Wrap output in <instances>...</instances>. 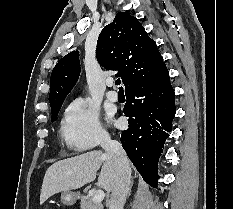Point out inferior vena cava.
Masks as SVG:
<instances>
[{
	"label": "inferior vena cava",
	"instance_id": "602c4592",
	"mask_svg": "<svg viewBox=\"0 0 233 209\" xmlns=\"http://www.w3.org/2000/svg\"><path fill=\"white\" fill-rule=\"evenodd\" d=\"M101 147L112 157L115 164V183L111 194L109 209H123L129 194L131 183V168L127 155L118 141L109 136L101 138Z\"/></svg>",
	"mask_w": 233,
	"mask_h": 209
}]
</instances>
